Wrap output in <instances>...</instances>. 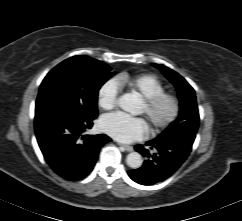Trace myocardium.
<instances>
[{
  "instance_id": "obj_1",
  "label": "myocardium",
  "mask_w": 242,
  "mask_h": 221,
  "mask_svg": "<svg viewBox=\"0 0 242 221\" xmlns=\"http://www.w3.org/2000/svg\"><path fill=\"white\" fill-rule=\"evenodd\" d=\"M164 103L169 106L168 113L161 119H155L154 112ZM143 107V113L149 121L151 128L155 131H160L171 126L177 119L180 111V102L178 97L173 93L163 91L153 96L143 98Z\"/></svg>"
}]
</instances>
